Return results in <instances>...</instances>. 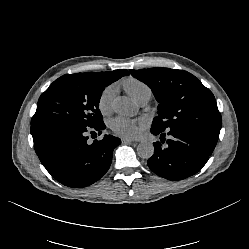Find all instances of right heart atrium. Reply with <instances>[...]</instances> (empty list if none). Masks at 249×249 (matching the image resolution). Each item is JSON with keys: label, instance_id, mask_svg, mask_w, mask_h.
<instances>
[{"label": "right heart atrium", "instance_id": "obj_1", "mask_svg": "<svg viewBox=\"0 0 249 249\" xmlns=\"http://www.w3.org/2000/svg\"><path fill=\"white\" fill-rule=\"evenodd\" d=\"M116 94L114 85L105 86L98 97L97 106L102 114H108L112 111V103Z\"/></svg>", "mask_w": 249, "mask_h": 249}]
</instances>
